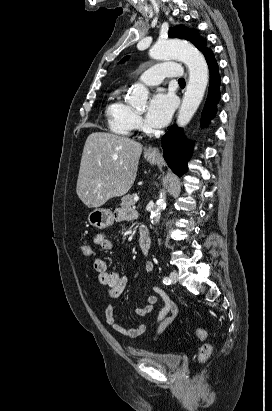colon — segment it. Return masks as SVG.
Listing matches in <instances>:
<instances>
[{
    "label": "colon",
    "mask_w": 272,
    "mask_h": 411,
    "mask_svg": "<svg viewBox=\"0 0 272 411\" xmlns=\"http://www.w3.org/2000/svg\"><path fill=\"white\" fill-rule=\"evenodd\" d=\"M80 251L84 256H90L92 254V249L89 244H82L80 246ZM196 338L202 340L206 337V331L204 328H198L195 332ZM213 350V346L210 343H205L201 346L199 353H198V362L200 364L205 363Z\"/></svg>",
    "instance_id": "1"
}]
</instances>
